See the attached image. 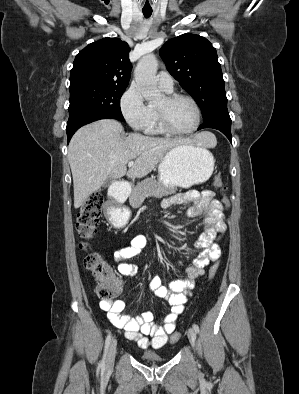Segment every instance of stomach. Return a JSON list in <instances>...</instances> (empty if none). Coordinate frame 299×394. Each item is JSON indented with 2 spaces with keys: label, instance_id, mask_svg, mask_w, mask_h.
<instances>
[{
  "label": "stomach",
  "instance_id": "obj_1",
  "mask_svg": "<svg viewBox=\"0 0 299 394\" xmlns=\"http://www.w3.org/2000/svg\"><path fill=\"white\" fill-rule=\"evenodd\" d=\"M214 170V158L205 148L178 145L166 153L158 166L159 182L166 187L188 188L207 181Z\"/></svg>",
  "mask_w": 299,
  "mask_h": 394
}]
</instances>
